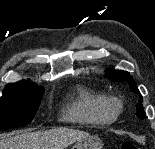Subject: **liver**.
<instances>
[{
  "mask_svg": "<svg viewBox=\"0 0 155 149\" xmlns=\"http://www.w3.org/2000/svg\"><path fill=\"white\" fill-rule=\"evenodd\" d=\"M88 135L85 131L65 127L26 132L0 140V149H65Z\"/></svg>",
  "mask_w": 155,
  "mask_h": 149,
  "instance_id": "1",
  "label": "liver"
}]
</instances>
